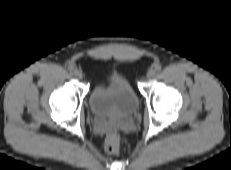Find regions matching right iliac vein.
I'll list each match as a JSON object with an SVG mask.
<instances>
[{"label": "right iliac vein", "instance_id": "right-iliac-vein-1", "mask_svg": "<svg viewBox=\"0 0 231 170\" xmlns=\"http://www.w3.org/2000/svg\"><path fill=\"white\" fill-rule=\"evenodd\" d=\"M73 73L77 78H82V72L79 69H75Z\"/></svg>", "mask_w": 231, "mask_h": 170}]
</instances>
